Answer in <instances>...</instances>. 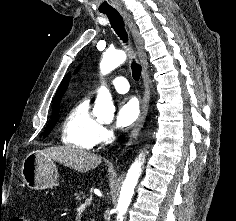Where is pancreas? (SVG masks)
Wrapping results in <instances>:
<instances>
[{"label":"pancreas","instance_id":"cf45deb5","mask_svg":"<svg viewBox=\"0 0 236 221\" xmlns=\"http://www.w3.org/2000/svg\"><path fill=\"white\" fill-rule=\"evenodd\" d=\"M85 193L83 191H77L76 193H74V200L76 201V203L80 202L82 199H85Z\"/></svg>","mask_w":236,"mask_h":221}]
</instances>
